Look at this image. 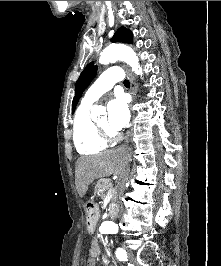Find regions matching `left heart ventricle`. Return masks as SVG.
<instances>
[{
    "label": "left heart ventricle",
    "mask_w": 221,
    "mask_h": 266,
    "mask_svg": "<svg viewBox=\"0 0 221 266\" xmlns=\"http://www.w3.org/2000/svg\"><path fill=\"white\" fill-rule=\"evenodd\" d=\"M98 124H100L102 127L110 128L108 123V118L104 116L102 119L98 121Z\"/></svg>",
    "instance_id": "obj_1"
}]
</instances>
